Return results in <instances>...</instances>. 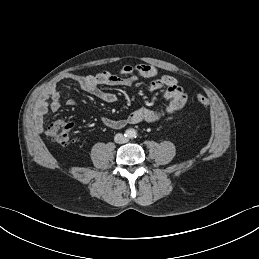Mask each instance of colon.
<instances>
[{
  "label": "colon",
  "mask_w": 259,
  "mask_h": 259,
  "mask_svg": "<svg viewBox=\"0 0 259 259\" xmlns=\"http://www.w3.org/2000/svg\"><path fill=\"white\" fill-rule=\"evenodd\" d=\"M197 101L199 105L202 108H207L208 107V100L204 96H198ZM74 127L73 123H67L64 121H56L51 123L47 129L46 133L48 136L53 138L55 141L67 145L71 142V134H72V129Z\"/></svg>",
  "instance_id": "obj_1"
}]
</instances>
